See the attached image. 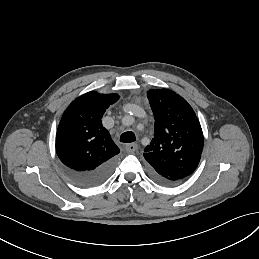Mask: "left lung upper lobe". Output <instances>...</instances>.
<instances>
[{
	"instance_id": "1",
	"label": "left lung upper lobe",
	"mask_w": 259,
	"mask_h": 259,
	"mask_svg": "<svg viewBox=\"0 0 259 259\" xmlns=\"http://www.w3.org/2000/svg\"><path fill=\"white\" fill-rule=\"evenodd\" d=\"M155 124L144 150L150 171L168 182H181L197 168L204 139L200 123L185 99L168 89L147 93Z\"/></svg>"
}]
</instances>
